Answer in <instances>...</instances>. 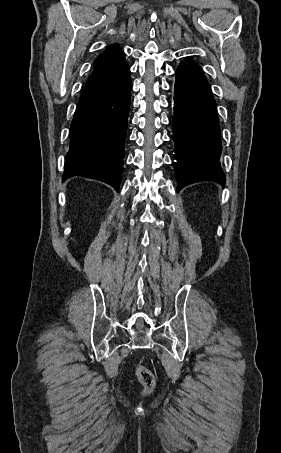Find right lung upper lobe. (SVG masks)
I'll list each match as a JSON object with an SVG mask.
<instances>
[{"label": "right lung upper lobe", "instance_id": "right-lung-upper-lobe-1", "mask_svg": "<svg viewBox=\"0 0 281 453\" xmlns=\"http://www.w3.org/2000/svg\"><path fill=\"white\" fill-rule=\"evenodd\" d=\"M122 52V50L120 49V47L118 45H110L102 54H100L96 60L94 61V66H97L109 59H111L112 57H114L115 55H117L118 53Z\"/></svg>", "mask_w": 281, "mask_h": 453}]
</instances>
